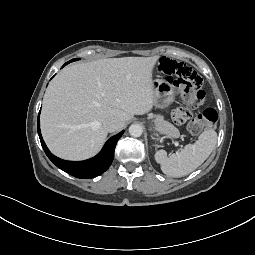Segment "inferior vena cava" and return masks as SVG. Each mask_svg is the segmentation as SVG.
Listing matches in <instances>:
<instances>
[{"mask_svg": "<svg viewBox=\"0 0 255 255\" xmlns=\"http://www.w3.org/2000/svg\"><path fill=\"white\" fill-rule=\"evenodd\" d=\"M122 126V123L116 118H109L104 122V127L108 132L118 131Z\"/></svg>", "mask_w": 255, "mask_h": 255, "instance_id": "obj_1", "label": "inferior vena cava"}]
</instances>
